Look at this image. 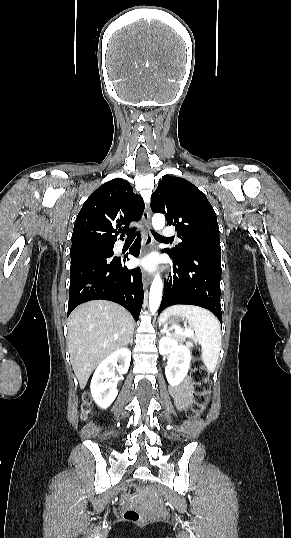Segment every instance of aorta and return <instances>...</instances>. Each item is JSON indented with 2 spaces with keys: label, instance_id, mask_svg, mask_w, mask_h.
Segmentation results:
<instances>
[{
  "label": "aorta",
  "instance_id": "1",
  "mask_svg": "<svg viewBox=\"0 0 291 538\" xmlns=\"http://www.w3.org/2000/svg\"><path fill=\"white\" fill-rule=\"evenodd\" d=\"M152 225L154 229L161 230L165 225V217L162 214H155L152 218ZM162 291V279L157 274L153 279L149 294V309L152 314H154L160 306L162 299Z\"/></svg>",
  "mask_w": 291,
  "mask_h": 538
}]
</instances>
